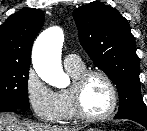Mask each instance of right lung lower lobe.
I'll return each mask as SVG.
<instances>
[{
  "label": "right lung lower lobe",
  "mask_w": 147,
  "mask_h": 131,
  "mask_svg": "<svg viewBox=\"0 0 147 131\" xmlns=\"http://www.w3.org/2000/svg\"><path fill=\"white\" fill-rule=\"evenodd\" d=\"M17 108L11 106L0 105V112H16Z\"/></svg>",
  "instance_id": "98d812e1"
}]
</instances>
